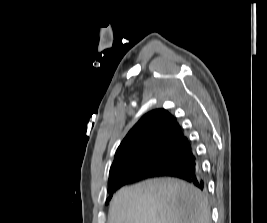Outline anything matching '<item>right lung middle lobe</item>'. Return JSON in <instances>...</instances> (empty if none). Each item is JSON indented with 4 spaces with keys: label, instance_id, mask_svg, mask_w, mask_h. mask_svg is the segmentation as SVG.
I'll list each match as a JSON object with an SVG mask.
<instances>
[{
    "label": "right lung middle lobe",
    "instance_id": "obj_1",
    "mask_svg": "<svg viewBox=\"0 0 267 223\" xmlns=\"http://www.w3.org/2000/svg\"><path fill=\"white\" fill-rule=\"evenodd\" d=\"M186 151L183 148L177 146H166L159 150L154 156H151L144 160H135L125 165L126 172L133 170H146L157 173H163L169 170L184 154ZM113 194H110L111 199Z\"/></svg>",
    "mask_w": 267,
    "mask_h": 223
}]
</instances>
